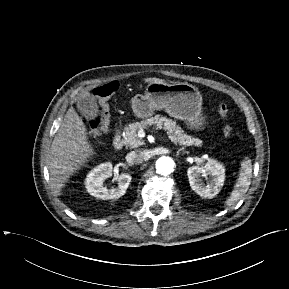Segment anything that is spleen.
<instances>
[{"label": "spleen", "instance_id": "1", "mask_svg": "<svg viewBox=\"0 0 289 289\" xmlns=\"http://www.w3.org/2000/svg\"><path fill=\"white\" fill-rule=\"evenodd\" d=\"M252 178V163L251 160H244L241 163L239 176L234 185L230 197L225 201V205L230 207L238 202L243 195L248 191Z\"/></svg>", "mask_w": 289, "mask_h": 289}]
</instances>
